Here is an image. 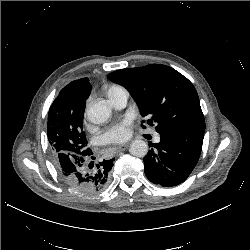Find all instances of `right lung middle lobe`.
Instances as JSON below:
<instances>
[{"mask_svg": "<svg viewBox=\"0 0 250 250\" xmlns=\"http://www.w3.org/2000/svg\"><path fill=\"white\" fill-rule=\"evenodd\" d=\"M58 107L48 114L47 136L52 158L55 161L59 153L69 156L84 155L88 150L83 129V112L70 119H58Z\"/></svg>", "mask_w": 250, "mask_h": 250, "instance_id": "right-lung-middle-lobe-1", "label": "right lung middle lobe"}]
</instances>
